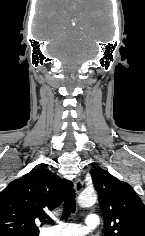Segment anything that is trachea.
I'll use <instances>...</instances> for the list:
<instances>
[{"label":"trachea","mask_w":145,"mask_h":236,"mask_svg":"<svg viewBox=\"0 0 145 236\" xmlns=\"http://www.w3.org/2000/svg\"><path fill=\"white\" fill-rule=\"evenodd\" d=\"M75 210V191L71 190L67 193L64 199L62 219H66L71 213H74Z\"/></svg>","instance_id":"1"}]
</instances>
